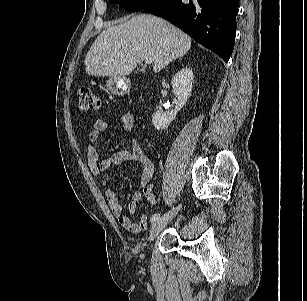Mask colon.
Returning a JSON list of instances; mask_svg holds the SVG:
<instances>
[{
  "label": "colon",
  "instance_id": "5ec220e1",
  "mask_svg": "<svg viewBox=\"0 0 307 301\" xmlns=\"http://www.w3.org/2000/svg\"><path fill=\"white\" fill-rule=\"evenodd\" d=\"M77 104L81 112H95L100 107V100L93 90L83 88L77 93Z\"/></svg>",
  "mask_w": 307,
  "mask_h": 301
}]
</instances>
